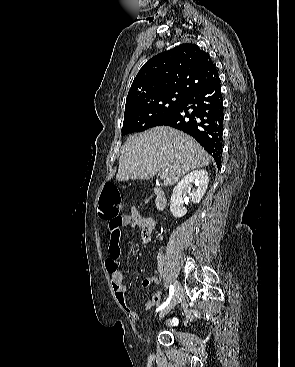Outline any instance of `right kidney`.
<instances>
[{"instance_id":"obj_1","label":"right kidney","mask_w":295,"mask_h":367,"mask_svg":"<svg viewBox=\"0 0 295 367\" xmlns=\"http://www.w3.org/2000/svg\"><path fill=\"white\" fill-rule=\"evenodd\" d=\"M208 173L206 170H194L187 174L174 188L170 201V211L176 218H181L187 213L183 206V192L188 191L193 203H199L208 187ZM195 183L197 189L191 190V184Z\"/></svg>"}]
</instances>
